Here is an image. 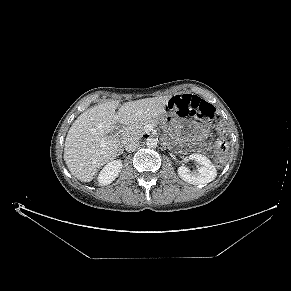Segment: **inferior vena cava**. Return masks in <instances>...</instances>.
Listing matches in <instances>:
<instances>
[{
	"instance_id": "602c4592",
	"label": "inferior vena cava",
	"mask_w": 291,
	"mask_h": 291,
	"mask_svg": "<svg viewBox=\"0 0 291 291\" xmlns=\"http://www.w3.org/2000/svg\"><path fill=\"white\" fill-rule=\"evenodd\" d=\"M139 147V142L134 139L131 138L126 142L125 148L127 152H133L135 151L137 148Z\"/></svg>"
}]
</instances>
